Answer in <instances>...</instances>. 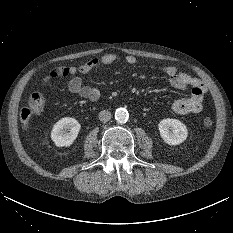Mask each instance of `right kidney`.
<instances>
[{"label": "right kidney", "mask_w": 233, "mask_h": 233, "mask_svg": "<svg viewBox=\"0 0 233 233\" xmlns=\"http://www.w3.org/2000/svg\"><path fill=\"white\" fill-rule=\"evenodd\" d=\"M81 129L79 122L70 117L60 119L54 124L51 139L57 147H67L73 144Z\"/></svg>", "instance_id": "1"}]
</instances>
